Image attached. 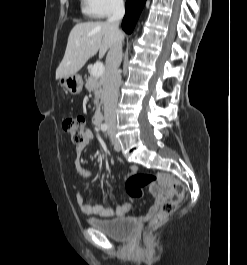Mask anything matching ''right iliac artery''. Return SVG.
Returning a JSON list of instances; mask_svg holds the SVG:
<instances>
[{"instance_id": "right-iliac-artery-1", "label": "right iliac artery", "mask_w": 247, "mask_h": 265, "mask_svg": "<svg viewBox=\"0 0 247 265\" xmlns=\"http://www.w3.org/2000/svg\"><path fill=\"white\" fill-rule=\"evenodd\" d=\"M101 129L103 131H106L108 129V126L106 124H102Z\"/></svg>"}]
</instances>
